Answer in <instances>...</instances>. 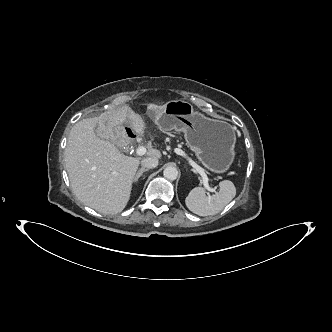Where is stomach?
<instances>
[{"label": "stomach", "mask_w": 332, "mask_h": 332, "mask_svg": "<svg viewBox=\"0 0 332 332\" xmlns=\"http://www.w3.org/2000/svg\"><path fill=\"white\" fill-rule=\"evenodd\" d=\"M155 123L161 131L183 132L187 144L208 170L225 173L231 167L236 136L229 123L204 117L182 100L167 102L164 110L156 113Z\"/></svg>", "instance_id": "1"}]
</instances>
